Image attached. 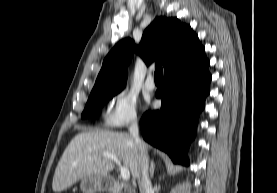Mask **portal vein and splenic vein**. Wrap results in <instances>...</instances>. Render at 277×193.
<instances>
[{
	"mask_svg": "<svg viewBox=\"0 0 277 193\" xmlns=\"http://www.w3.org/2000/svg\"><path fill=\"white\" fill-rule=\"evenodd\" d=\"M101 155L105 158H108V159L112 160L113 162H115L119 166L120 174H121V177L124 181H127V180L130 179L129 169L126 168V167H123L121 165V161L118 159V157H116L115 155H113L111 153H107V152H103Z\"/></svg>",
	"mask_w": 277,
	"mask_h": 193,
	"instance_id": "18ae733b",
	"label": "portal vein and splenic vein"
}]
</instances>
